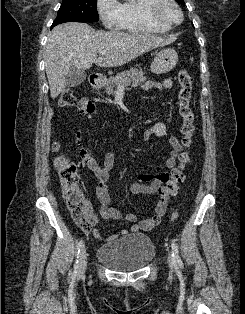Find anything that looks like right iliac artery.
I'll return each mask as SVG.
<instances>
[{
    "mask_svg": "<svg viewBox=\"0 0 245 314\" xmlns=\"http://www.w3.org/2000/svg\"><path fill=\"white\" fill-rule=\"evenodd\" d=\"M83 245V240L81 239L78 243H77V246H76V255H77V258L79 257V253H80V249ZM77 270H78V260H76L75 262V265H74V272H73V276H76L77 274Z\"/></svg>",
    "mask_w": 245,
    "mask_h": 314,
    "instance_id": "right-iliac-artery-1",
    "label": "right iliac artery"
}]
</instances>
